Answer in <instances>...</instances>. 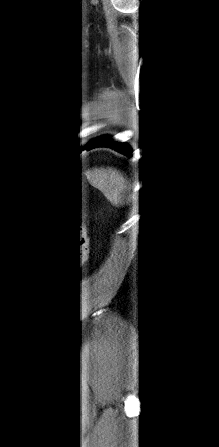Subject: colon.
<instances>
[{
    "label": "colon",
    "mask_w": 219,
    "mask_h": 447,
    "mask_svg": "<svg viewBox=\"0 0 219 447\" xmlns=\"http://www.w3.org/2000/svg\"><path fill=\"white\" fill-rule=\"evenodd\" d=\"M79 236L82 240H84L86 236V228L83 224L79 227ZM82 249L84 251L85 247L83 246Z\"/></svg>",
    "instance_id": "obj_1"
}]
</instances>
